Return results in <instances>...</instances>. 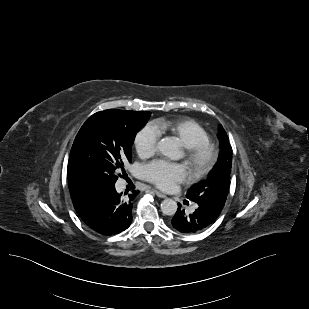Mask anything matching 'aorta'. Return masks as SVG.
Masks as SVG:
<instances>
[{
    "mask_svg": "<svg viewBox=\"0 0 309 309\" xmlns=\"http://www.w3.org/2000/svg\"><path fill=\"white\" fill-rule=\"evenodd\" d=\"M157 149L165 156L177 160L181 157L180 149L176 140L172 137H166L157 144ZM177 203L173 199L167 198L161 203V211L164 215H174L177 211Z\"/></svg>",
    "mask_w": 309,
    "mask_h": 309,
    "instance_id": "1",
    "label": "aorta"
}]
</instances>
